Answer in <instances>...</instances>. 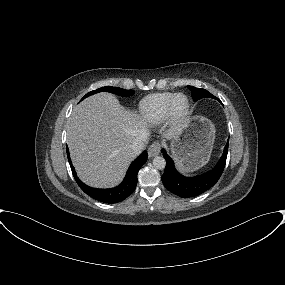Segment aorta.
Here are the masks:
<instances>
[{
	"label": "aorta",
	"instance_id": "762f6f07",
	"mask_svg": "<svg viewBox=\"0 0 285 285\" xmlns=\"http://www.w3.org/2000/svg\"><path fill=\"white\" fill-rule=\"evenodd\" d=\"M153 167L155 169H159V170H162L165 168L166 166V160L161 157V156H156L154 159H153Z\"/></svg>",
	"mask_w": 285,
	"mask_h": 285
}]
</instances>
